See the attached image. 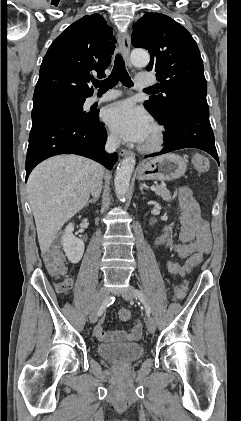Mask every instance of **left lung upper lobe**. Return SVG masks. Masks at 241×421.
<instances>
[{
    "mask_svg": "<svg viewBox=\"0 0 241 421\" xmlns=\"http://www.w3.org/2000/svg\"><path fill=\"white\" fill-rule=\"evenodd\" d=\"M132 45L151 55L148 71H155L163 94L151 96L144 105L165 127L190 103H207V83L198 46L191 34L172 18L146 13L133 25Z\"/></svg>",
    "mask_w": 241,
    "mask_h": 421,
    "instance_id": "left-lung-upper-lobe-1",
    "label": "left lung upper lobe"
}]
</instances>
